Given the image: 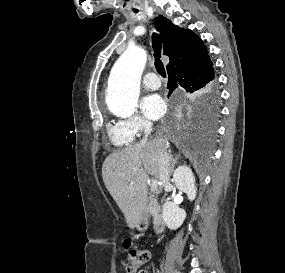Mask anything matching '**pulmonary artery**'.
I'll use <instances>...</instances> for the list:
<instances>
[{
    "label": "pulmonary artery",
    "instance_id": "e3ab8cb5",
    "mask_svg": "<svg viewBox=\"0 0 285 273\" xmlns=\"http://www.w3.org/2000/svg\"><path fill=\"white\" fill-rule=\"evenodd\" d=\"M143 85L148 90H156L161 86V81L154 72H148L143 77Z\"/></svg>",
    "mask_w": 285,
    "mask_h": 273
}]
</instances>
